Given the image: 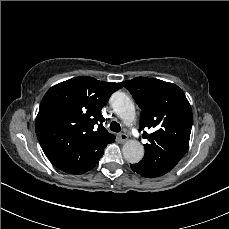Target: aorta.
I'll use <instances>...</instances> for the list:
<instances>
[{"mask_svg": "<svg viewBox=\"0 0 229 229\" xmlns=\"http://www.w3.org/2000/svg\"><path fill=\"white\" fill-rule=\"evenodd\" d=\"M110 104L114 112L127 125H130L135 119V106L131 98L124 92H115L110 98ZM124 158L129 163H138L144 156V148L137 140H128L122 148Z\"/></svg>", "mask_w": 229, "mask_h": 229, "instance_id": "aorta-1", "label": "aorta"}]
</instances>
